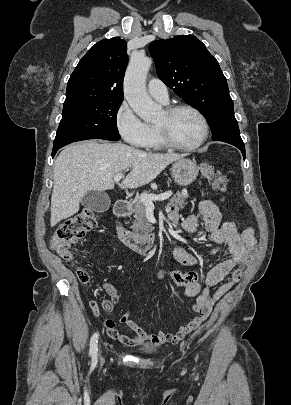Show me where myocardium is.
Returning <instances> with one entry per match:
<instances>
[{"label":"myocardium","instance_id":"1","mask_svg":"<svg viewBox=\"0 0 291 405\" xmlns=\"http://www.w3.org/2000/svg\"><path fill=\"white\" fill-rule=\"evenodd\" d=\"M180 110L192 111L199 117V119L201 120L202 126H203V133H202L201 138L194 144L182 145V144L175 142L171 138L167 127L156 126L160 140L164 146L171 148V149L180 150V151L196 150V149L200 148L207 141V139L209 137V134H210L209 122L202 111H200L197 107L190 105V104H186V103H180V104H174V105L167 106L165 108L164 112L167 114V116H172Z\"/></svg>","mask_w":291,"mask_h":405}]
</instances>
